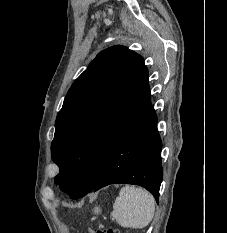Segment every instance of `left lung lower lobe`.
I'll return each instance as SVG.
<instances>
[{
	"label": "left lung lower lobe",
	"instance_id": "left-lung-lower-lobe-1",
	"mask_svg": "<svg viewBox=\"0 0 227 233\" xmlns=\"http://www.w3.org/2000/svg\"><path fill=\"white\" fill-rule=\"evenodd\" d=\"M161 149L157 117L151 105L119 139L93 190L119 183L140 185L158 202L163 177Z\"/></svg>",
	"mask_w": 227,
	"mask_h": 233
}]
</instances>
